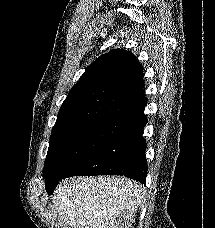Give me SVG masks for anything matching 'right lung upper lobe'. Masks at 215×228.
Here are the masks:
<instances>
[{
	"instance_id": "1",
	"label": "right lung upper lobe",
	"mask_w": 215,
	"mask_h": 228,
	"mask_svg": "<svg viewBox=\"0 0 215 228\" xmlns=\"http://www.w3.org/2000/svg\"><path fill=\"white\" fill-rule=\"evenodd\" d=\"M143 68L135 56L114 49L96 59L60 107L52 133L93 120L136 123L146 116Z\"/></svg>"
}]
</instances>
